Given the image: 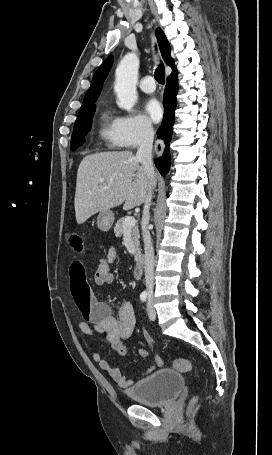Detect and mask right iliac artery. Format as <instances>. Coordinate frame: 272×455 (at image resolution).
<instances>
[{
    "instance_id": "1",
    "label": "right iliac artery",
    "mask_w": 272,
    "mask_h": 455,
    "mask_svg": "<svg viewBox=\"0 0 272 455\" xmlns=\"http://www.w3.org/2000/svg\"><path fill=\"white\" fill-rule=\"evenodd\" d=\"M140 299H141L142 302L146 301V299H147V293H146V292H142V293L140 294Z\"/></svg>"
}]
</instances>
